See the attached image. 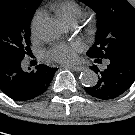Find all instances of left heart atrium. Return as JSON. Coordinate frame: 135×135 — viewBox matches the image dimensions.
<instances>
[{
	"mask_svg": "<svg viewBox=\"0 0 135 135\" xmlns=\"http://www.w3.org/2000/svg\"><path fill=\"white\" fill-rule=\"evenodd\" d=\"M82 50L83 45L79 42L58 43L47 52V56L51 60L69 64L77 61L78 54Z\"/></svg>",
	"mask_w": 135,
	"mask_h": 135,
	"instance_id": "39dd6f15",
	"label": "left heart atrium"
}]
</instances>
